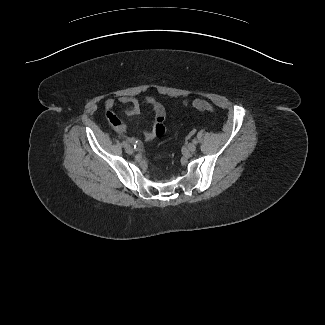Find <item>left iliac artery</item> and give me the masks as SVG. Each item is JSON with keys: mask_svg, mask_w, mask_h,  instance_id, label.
<instances>
[{"mask_svg": "<svg viewBox=\"0 0 325 325\" xmlns=\"http://www.w3.org/2000/svg\"><path fill=\"white\" fill-rule=\"evenodd\" d=\"M194 144H197V141L195 140V139H193V141H192Z\"/></svg>", "mask_w": 325, "mask_h": 325, "instance_id": "1", "label": "left iliac artery"}]
</instances>
